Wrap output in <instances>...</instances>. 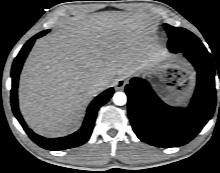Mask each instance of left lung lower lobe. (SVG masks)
I'll list each match as a JSON object with an SVG mask.
<instances>
[{"mask_svg": "<svg viewBox=\"0 0 220 173\" xmlns=\"http://www.w3.org/2000/svg\"><path fill=\"white\" fill-rule=\"evenodd\" d=\"M181 52L198 73L196 91L187 109L166 105L142 79L133 78L126 86L128 113L133 130L140 140L154 146L176 147L188 143L214 112L215 69L209 53L186 49Z\"/></svg>", "mask_w": 220, "mask_h": 173, "instance_id": "obj_1", "label": "left lung lower lobe"}]
</instances>
